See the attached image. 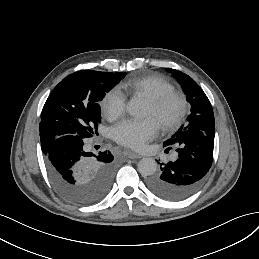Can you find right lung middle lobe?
Here are the masks:
<instances>
[{"instance_id":"dd1d6c3e","label":"right lung middle lobe","mask_w":259,"mask_h":259,"mask_svg":"<svg viewBox=\"0 0 259 259\" xmlns=\"http://www.w3.org/2000/svg\"><path fill=\"white\" fill-rule=\"evenodd\" d=\"M124 76L123 72L98 71L77 77L70 88L55 87L45 103L53 112L45 118L44 137L55 141L70 136L69 140L77 141L98 134L99 102ZM60 99L67 100L65 109L58 106Z\"/></svg>"}]
</instances>
